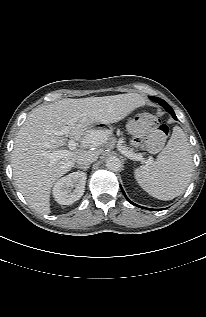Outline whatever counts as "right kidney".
<instances>
[{
  "label": "right kidney",
  "mask_w": 206,
  "mask_h": 317,
  "mask_svg": "<svg viewBox=\"0 0 206 317\" xmlns=\"http://www.w3.org/2000/svg\"><path fill=\"white\" fill-rule=\"evenodd\" d=\"M86 179L87 175L82 171L70 173L59 179L52 190L57 203L71 205L79 200L84 194Z\"/></svg>",
  "instance_id": "obj_1"
}]
</instances>
